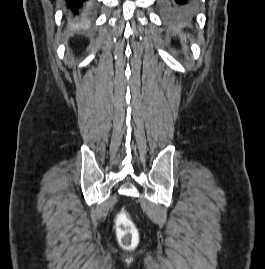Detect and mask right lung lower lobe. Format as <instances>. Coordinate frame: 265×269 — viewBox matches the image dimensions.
I'll return each mask as SVG.
<instances>
[{
	"mask_svg": "<svg viewBox=\"0 0 265 269\" xmlns=\"http://www.w3.org/2000/svg\"><path fill=\"white\" fill-rule=\"evenodd\" d=\"M68 13L79 20L85 16L89 0H66Z\"/></svg>",
	"mask_w": 265,
	"mask_h": 269,
	"instance_id": "right-lung-lower-lobe-1",
	"label": "right lung lower lobe"
}]
</instances>
